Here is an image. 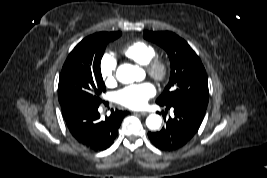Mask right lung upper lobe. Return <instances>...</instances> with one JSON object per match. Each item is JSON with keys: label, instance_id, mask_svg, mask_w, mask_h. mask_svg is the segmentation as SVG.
Wrapping results in <instances>:
<instances>
[{"label": "right lung upper lobe", "instance_id": "right-lung-upper-lobe-1", "mask_svg": "<svg viewBox=\"0 0 267 178\" xmlns=\"http://www.w3.org/2000/svg\"><path fill=\"white\" fill-rule=\"evenodd\" d=\"M112 33H115V32H111V33H107V32H100L98 34H112Z\"/></svg>", "mask_w": 267, "mask_h": 178}]
</instances>
